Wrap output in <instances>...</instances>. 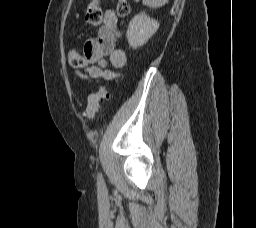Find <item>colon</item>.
Segmentation results:
<instances>
[{
	"mask_svg": "<svg viewBox=\"0 0 256 228\" xmlns=\"http://www.w3.org/2000/svg\"><path fill=\"white\" fill-rule=\"evenodd\" d=\"M117 14L120 17H125L129 14L130 6L128 0L117 1ZM103 12L101 8V0H91L86 9V20L89 24L97 27L101 24ZM69 63L73 68L84 69L88 66V59L72 50L69 53ZM108 90L105 87H100L99 90L91 94L88 98L86 115L89 120H93L99 111L100 103L108 97Z\"/></svg>",
	"mask_w": 256,
	"mask_h": 228,
	"instance_id": "1",
	"label": "colon"
}]
</instances>
